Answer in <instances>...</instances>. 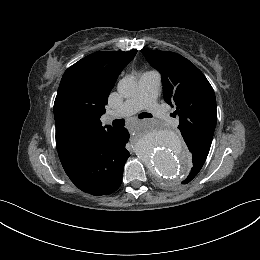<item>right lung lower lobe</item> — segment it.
<instances>
[{
	"label": "right lung lower lobe",
	"instance_id": "right-lung-lower-lobe-1",
	"mask_svg": "<svg viewBox=\"0 0 260 260\" xmlns=\"http://www.w3.org/2000/svg\"><path fill=\"white\" fill-rule=\"evenodd\" d=\"M128 130H115L90 141L61 161L77 188L95 196L109 195L122 183L123 168L130 153L125 148Z\"/></svg>",
	"mask_w": 260,
	"mask_h": 260
}]
</instances>
